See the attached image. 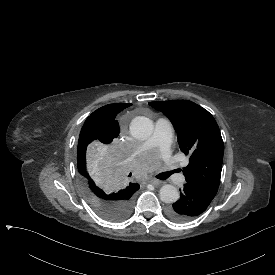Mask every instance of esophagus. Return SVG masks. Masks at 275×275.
<instances>
[{"label": "esophagus", "mask_w": 275, "mask_h": 275, "mask_svg": "<svg viewBox=\"0 0 275 275\" xmlns=\"http://www.w3.org/2000/svg\"><path fill=\"white\" fill-rule=\"evenodd\" d=\"M149 183L154 185V186H160L162 184V182L160 180H157V179H151V180H149Z\"/></svg>", "instance_id": "obj_1"}]
</instances>
